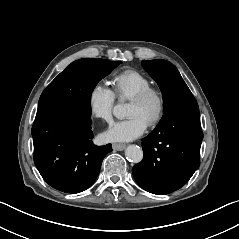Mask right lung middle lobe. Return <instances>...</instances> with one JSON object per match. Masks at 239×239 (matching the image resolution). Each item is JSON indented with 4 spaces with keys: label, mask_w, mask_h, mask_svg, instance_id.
<instances>
[{
    "label": "right lung middle lobe",
    "mask_w": 239,
    "mask_h": 239,
    "mask_svg": "<svg viewBox=\"0 0 239 239\" xmlns=\"http://www.w3.org/2000/svg\"><path fill=\"white\" fill-rule=\"evenodd\" d=\"M120 61L84 58L66 67L43 91L38 106L63 98L77 97L88 103L97 83L110 74Z\"/></svg>",
    "instance_id": "dd1d6c3e"
}]
</instances>
